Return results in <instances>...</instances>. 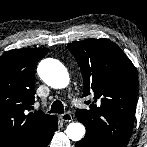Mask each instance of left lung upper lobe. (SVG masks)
<instances>
[{
  "label": "left lung upper lobe",
  "instance_id": "left-lung-upper-lobe-1",
  "mask_svg": "<svg viewBox=\"0 0 147 147\" xmlns=\"http://www.w3.org/2000/svg\"><path fill=\"white\" fill-rule=\"evenodd\" d=\"M80 66L83 96L92 95L89 109L76 116L108 147H126L132 134L138 79L134 65L109 39H87L67 46Z\"/></svg>",
  "mask_w": 147,
  "mask_h": 147
}]
</instances>
